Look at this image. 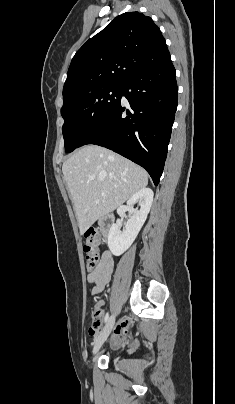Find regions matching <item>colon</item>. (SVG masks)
I'll use <instances>...</instances> for the list:
<instances>
[{"mask_svg":"<svg viewBox=\"0 0 235 404\" xmlns=\"http://www.w3.org/2000/svg\"><path fill=\"white\" fill-rule=\"evenodd\" d=\"M85 244L83 251L85 254L86 266L88 269H94L99 260L98 246L101 242V234L97 229H88L85 233ZM101 321V310L99 307H94L92 311V326L97 328Z\"/></svg>","mask_w":235,"mask_h":404,"instance_id":"colon-1","label":"colon"}]
</instances>
